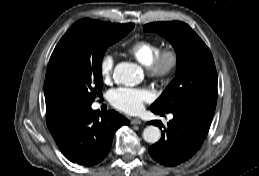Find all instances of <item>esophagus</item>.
Segmentation results:
<instances>
[{"label": "esophagus", "instance_id": "esophagus-1", "mask_svg": "<svg viewBox=\"0 0 259 176\" xmlns=\"http://www.w3.org/2000/svg\"><path fill=\"white\" fill-rule=\"evenodd\" d=\"M131 124H133V125H140V124H142V120L139 119V118H133L131 120Z\"/></svg>", "mask_w": 259, "mask_h": 176}]
</instances>
